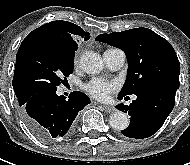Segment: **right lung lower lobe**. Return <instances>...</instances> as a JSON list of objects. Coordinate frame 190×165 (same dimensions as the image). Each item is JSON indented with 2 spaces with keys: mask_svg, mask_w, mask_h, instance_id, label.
<instances>
[{
  "mask_svg": "<svg viewBox=\"0 0 190 165\" xmlns=\"http://www.w3.org/2000/svg\"><path fill=\"white\" fill-rule=\"evenodd\" d=\"M56 90H44L19 101L23 121L45 142L70 135L78 112L90 103L89 97L81 92L74 91L66 99L58 96Z\"/></svg>",
  "mask_w": 190,
  "mask_h": 165,
  "instance_id": "right-lung-lower-lobe-1",
  "label": "right lung lower lobe"
}]
</instances>
